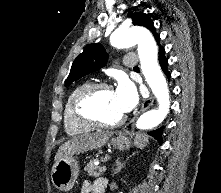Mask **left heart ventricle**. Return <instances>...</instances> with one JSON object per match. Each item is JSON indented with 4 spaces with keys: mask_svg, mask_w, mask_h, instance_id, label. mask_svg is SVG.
<instances>
[{
    "mask_svg": "<svg viewBox=\"0 0 221 193\" xmlns=\"http://www.w3.org/2000/svg\"><path fill=\"white\" fill-rule=\"evenodd\" d=\"M95 112L105 121H115L123 116L113 90L102 91L93 103Z\"/></svg>",
    "mask_w": 221,
    "mask_h": 193,
    "instance_id": "left-heart-ventricle-1",
    "label": "left heart ventricle"
}]
</instances>
